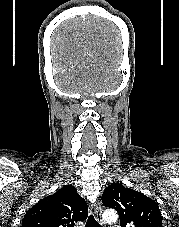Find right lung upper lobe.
<instances>
[{
  "mask_svg": "<svg viewBox=\"0 0 179 227\" xmlns=\"http://www.w3.org/2000/svg\"><path fill=\"white\" fill-rule=\"evenodd\" d=\"M88 207L75 187L66 185L29 209L21 227H74L86 220Z\"/></svg>",
  "mask_w": 179,
  "mask_h": 227,
  "instance_id": "right-lung-upper-lobe-1",
  "label": "right lung upper lobe"
}]
</instances>
